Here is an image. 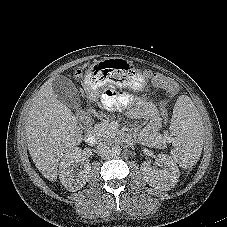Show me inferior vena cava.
<instances>
[{"mask_svg":"<svg viewBox=\"0 0 227 227\" xmlns=\"http://www.w3.org/2000/svg\"><path fill=\"white\" fill-rule=\"evenodd\" d=\"M97 153L99 156H107L111 153V149L109 144H107L106 142H100L97 145Z\"/></svg>","mask_w":227,"mask_h":227,"instance_id":"obj_1","label":"inferior vena cava"}]
</instances>
